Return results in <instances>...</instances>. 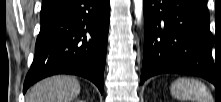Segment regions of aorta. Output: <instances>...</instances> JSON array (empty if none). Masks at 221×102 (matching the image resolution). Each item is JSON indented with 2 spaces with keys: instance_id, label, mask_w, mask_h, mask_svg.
<instances>
[{
  "instance_id": "762f6f07",
  "label": "aorta",
  "mask_w": 221,
  "mask_h": 102,
  "mask_svg": "<svg viewBox=\"0 0 221 102\" xmlns=\"http://www.w3.org/2000/svg\"><path fill=\"white\" fill-rule=\"evenodd\" d=\"M134 6L135 16L137 18V22L139 23L141 21V16L143 12V0H134Z\"/></svg>"
}]
</instances>
